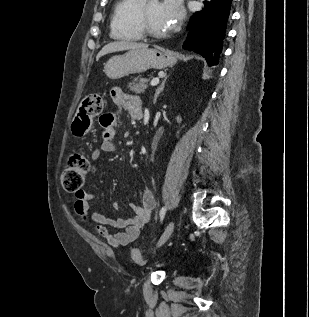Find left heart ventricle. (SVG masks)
Returning <instances> with one entry per match:
<instances>
[{
  "label": "left heart ventricle",
  "instance_id": "left-heart-ventricle-1",
  "mask_svg": "<svg viewBox=\"0 0 309 317\" xmlns=\"http://www.w3.org/2000/svg\"><path fill=\"white\" fill-rule=\"evenodd\" d=\"M147 22L150 28L159 33H165L169 30L166 21L161 12V4L159 2L149 3L144 6Z\"/></svg>",
  "mask_w": 309,
  "mask_h": 317
}]
</instances>
